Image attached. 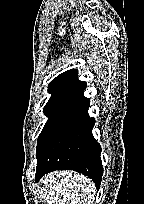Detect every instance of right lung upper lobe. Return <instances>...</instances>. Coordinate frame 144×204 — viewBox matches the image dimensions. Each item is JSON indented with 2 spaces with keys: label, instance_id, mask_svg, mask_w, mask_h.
Masks as SVG:
<instances>
[{
  "label": "right lung upper lobe",
  "instance_id": "1",
  "mask_svg": "<svg viewBox=\"0 0 144 204\" xmlns=\"http://www.w3.org/2000/svg\"><path fill=\"white\" fill-rule=\"evenodd\" d=\"M77 76V70L71 69L53 79L48 87V92L51 94L49 100L63 97L76 99L82 96L86 83L78 80Z\"/></svg>",
  "mask_w": 144,
  "mask_h": 204
}]
</instances>
